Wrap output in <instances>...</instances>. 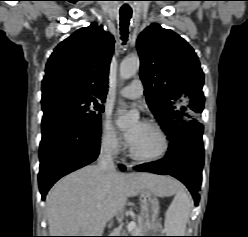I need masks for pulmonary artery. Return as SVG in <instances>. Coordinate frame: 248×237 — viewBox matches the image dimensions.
Wrapping results in <instances>:
<instances>
[{"label": "pulmonary artery", "mask_w": 248, "mask_h": 237, "mask_svg": "<svg viewBox=\"0 0 248 237\" xmlns=\"http://www.w3.org/2000/svg\"><path fill=\"white\" fill-rule=\"evenodd\" d=\"M119 94L129 99L140 98L143 95V84L141 80H133L128 86L121 88Z\"/></svg>", "instance_id": "1"}]
</instances>
